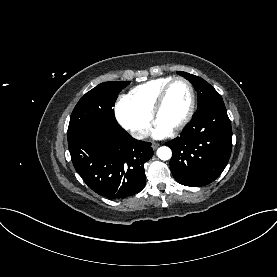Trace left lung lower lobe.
Here are the masks:
<instances>
[{
  "label": "left lung lower lobe",
  "mask_w": 277,
  "mask_h": 277,
  "mask_svg": "<svg viewBox=\"0 0 277 277\" xmlns=\"http://www.w3.org/2000/svg\"><path fill=\"white\" fill-rule=\"evenodd\" d=\"M166 145L172 150L170 169L177 182L201 187L217 179L232 150V128L223 99L197 111L180 137Z\"/></svg>",
  "instance_id": "0a47b994"
}]
</instances>
